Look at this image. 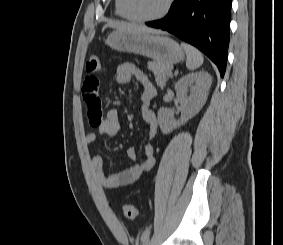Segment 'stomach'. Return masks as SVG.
<instances>
[{"label": "stomach", "instance_id": "1", "mask_svg": "<svg viewBox=\"0 0 283 245\" xmlns=\"http://www.w3.org/2000/svg\"><path fill=\"white\" fill-rule=\"evenodd\" d=\"M106 44L114 50L142 55L168 65L184 59V52L176 41L154 33L116 30L108 36Z\"/></svg>", "mask_w": 283, "mask_h": 245}]
</instances>
